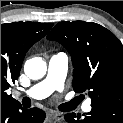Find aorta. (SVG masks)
Segmentation results:
<instances>
[{"mask_svg":"<svg viewBox=\"0 0 123 123\" xmlns=\"http://www.w3.org/2000/svg\"><path fill=\"white\" fill-rule=\"evenodd\" d=\"M47 71L46 62L40 57H34L25 62L24 72L30 79H40Z\"/></svg>","mask_w":123,"mask_h":123,"instance_id":"762f6f07","label":"aorta"}]
</instances>
